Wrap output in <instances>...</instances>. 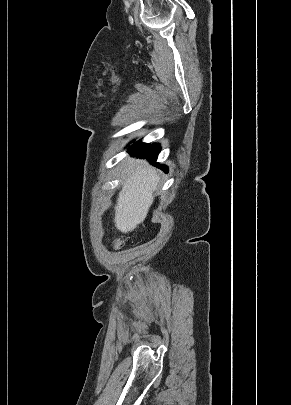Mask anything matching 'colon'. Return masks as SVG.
<instances>
[{
	"label": "colon",
	"instance_id": "1",
	"mask_svg": "<svg viewBox=\"0 0 291 405\" xmlns=\"http://www.w3.org/2000/svg\"><path fill=\"white\" fill-rule=\"evenodd\" d=\"M113 245H114V247H120L121 242L119 240H116V241H114Z\"/></svg>",
	"mask_w": 291,
	"mask_h": 405
}]
</instances>
